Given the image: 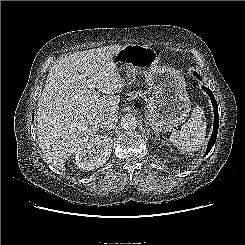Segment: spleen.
Returning a JSON list of instances; mask_svg holds the SVG:
<instances>
[{
    "label": "spleen",
    "instance_id": "spleen-1",
    "mask_svg": "<svg viewBox=\"0 0 245 245\" xmlns=\"http://www.w3.org/2000/svg\"><path fill=\"white\" fill-rule=\"evenodd\" d=\"M206 118L201 107L196 106L191 118L180 130L171 133L170 140L174 146L185 152L198 151L205 142Z\"/></svg>",
    "mask_w": 245,
    "mask_h": 245
}]
</instances>
